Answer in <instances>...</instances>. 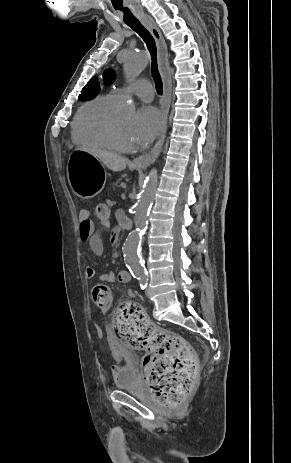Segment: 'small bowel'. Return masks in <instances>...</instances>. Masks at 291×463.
I'll return each instance as SVG.
<instances>
[{
  "label": "small bowel",
  "mask_w": 291,
  "mask_h": 463,
  "mask_svg": "<svg viewBox=\"0 0 291 463\" xmlns=\"http://www.w3.org/2000/svg\"><path fill=\"white\" fill-rule=\"evenodd\" d=\"M79 238L81 241H88L91 251L96 256H102L104 252V244L101 235L95 231L94 223L90 219V212L88 209H80L79 214ZM109 218L107 216L108 223L104 226H109ZM122 228L120 226H113L110 231L111 244L118 246L120 244V237ZM85 277L87 279H93L96 277V272L93 268L87 267L85 269ZM99 279L106 283H114L116 281L120 283H128L130 281V274L126 270H122L116 276L113 271H107L99 276ZM115 372V371H114Z\"/></svg>",
  "instance_id": "c3829d8e"
}]
</instances>
